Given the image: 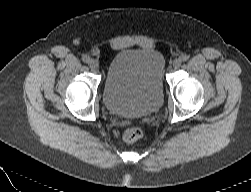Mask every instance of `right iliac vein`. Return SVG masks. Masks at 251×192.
<instances>
[{"label":"right iliac vein","mask_w":251,"mask_h":192,"mask_svg":"<svg viewBox=\"0 0 251 192\" xmlns=\"http://www.w3.org/2000/svg\"><path fill=\"white\" fill-rule=\"evenodd\" d=\"M88 65H89L90 68L93 69V70H98V68H99V64H98V62H97L95 59H90V60L88 61Z\"/></svg>","instance_id":"obj_1"}]
</instances>
